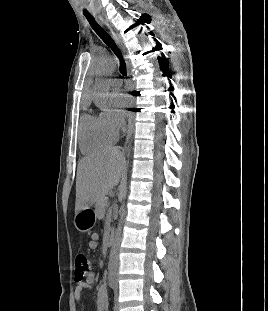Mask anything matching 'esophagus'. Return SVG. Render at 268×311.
Masks as SVG:
<instances>
[{
  "label": "esophagus",
  "mask_w": 268,
  "mask_h": 311,
  "mask_svg": "<svg viewBox=\"0 0 268 311\" xmlns=\"http://www.w3.org/2000/svg\"><path fill=\"white\" fill-rule=\"evenodd\" d=\"M103 23L108 27V29L110 30V32L112 33L114 39L116 40V42L122 46V43H121V40H120V37L112 30L111 26L105 21V20H102ZM122 51L124 53V56H125V59H126V63H127V75L129 76V72H130V69H129V61L125 55V49L124 47H122ZM131 96L132 97H136L137 95V90L135 87H132L131 88ZM133 118H134V114L131 113L129 119H128V130H127V136H126V144L129 142L130 138H131V135H132V132H133Z\"/></svg>",
  "instance_id": "1"
}]
</instances>
